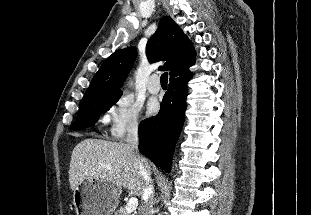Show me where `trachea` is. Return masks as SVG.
Instances as JSON below:
<instances>
[{"label": "trachea", "instance_id": "obj_1", "mask_svg": "<svg viewBox=\"0 0 311 215\" xmlns=\"http://www.w3.org/2000/svg\"><path fill=\"white\" fill-rule=\"evenodd\" d=\"M160 82H161V85L167 86V83H168V73L167 72H165L161 75Z\"/></svg>", "mask_w": 311, "mask_h": 215}]
</instances>
